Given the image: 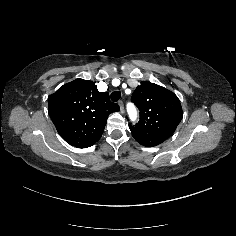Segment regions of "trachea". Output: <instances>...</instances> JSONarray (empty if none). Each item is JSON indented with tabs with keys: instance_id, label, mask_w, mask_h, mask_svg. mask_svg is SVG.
I'll return each mask as SVG.
<instances>
[{
	"instance_id": "3493384b",
	"label": "trachea",
	"mask_w": 236,
	"mask_h": 236,
	"mask_svg": "<svg viewBox=\"0 0 236 236\" xmlns=\"http://www.w3.org/2000/svg\"><path fill=\"white\" fill-rule=\"evenodd\" d=\"M121 98V92L120 91H114L111 93V100L113 102H117Z\"/></svg>"
}]
</instances>
